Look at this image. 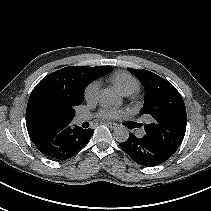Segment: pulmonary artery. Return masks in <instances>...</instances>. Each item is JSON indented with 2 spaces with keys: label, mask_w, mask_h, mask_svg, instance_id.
Returning a JSON list of instances; mask_svg holds the SVG:
<instances>
[{
  "label": "pulmonary artery",
  "mask_w": 211,
  "mask_h": 211,
  "mask_svg": "<svg viewBox=\"0 0 211 211\" xmlns=\"http://www.w3.org/2000/svg\"><path fill=\"white\" fill-rule=\"evenodd\" d=\"M89 119V116L88 115H85V114H81V115H78L76 118H75V122L76 123H82V122H84V121H86V120H88ZM143 132H140L139 133V136H143Z\"/></svg>",
  "instance_id": "pulmonary-artery-1"
}]
</instances>
